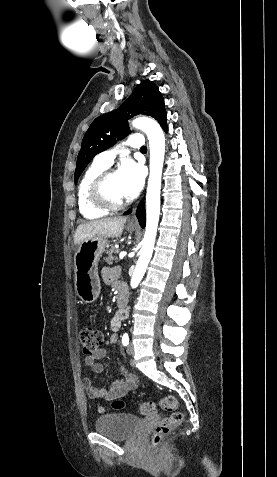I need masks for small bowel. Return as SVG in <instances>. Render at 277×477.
Wrapping results in <instances>:
<instances>
[{
	"instance_id": "c3829d8e",
	"label": "small bowel",
	"mask_w": 277,
	"mask_h": 477,
	"mask_svg": "<svg viewBox=\"0 0 277 477\" xmlns=\"http://www.w3.org/2000/svg\"><path fill=\"white\" fill-rule=\"evenodd\" d=\"M119 273L120 271L116 267H105L102 269V278L105 283L114 284ZM120 291H124L122 287H119V292ZM125 316V313L119 312L111 319L110 328L113 334L110 337V343L112 345L117 342V333ZM106 354V350L100 348L94 354L86 356L84 362L94 373H101L103 371V365L99 361L105 358ZM116 369L119 371L121 378L113 380L107 389L95 386L88 378L84 379V386L90 398L115 400L125 396L137 387L138 378L135 375L128 373L119 363H117Z\"/></svg>"
}]
</instances>
